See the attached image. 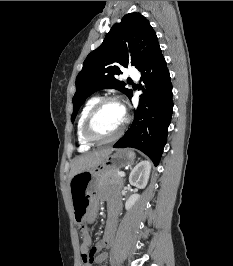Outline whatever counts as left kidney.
Masks as SVG:
<instances>
[{
    "label": "left kidney",
    "instance_id": "left-kidney-1",
    "mask_svg": "<svg viewBox=\"0 0 233 266\" xmlns=\"http://www.w3.org/2000/svg\"><path fill=\"white\" fill-rule=\"evenodd\" d=\"M151 163L149 161H141L131 171L129 183L137 188H144L149 179ZM139 194H133L125 203V208L129 210L139 199Z\"/></svg>",
    "mask_w": 233,
    "mask_h": 266
}]
</instances>
